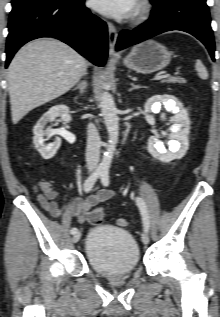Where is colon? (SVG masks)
I'll use <instances>...</instances> for the list:
<instances>
[{"instance_id":"5ec220e1","label":"colon","mask_w":220,"mask_h":317,"mask_svg":"<svg viewBox=\"0 0 220 317\" xmlns=\"http://www.w3.org/2000/svg\"><path fill=\"white\" fill-rule=\"evenodd\" d=\"M104 214L103 210L100 207L92 209L88 214V221L92 225H98L103 221ZM119 224L122 226L127 225V221L124 219L119 220Z\"/></svg>"}]
</instances>
